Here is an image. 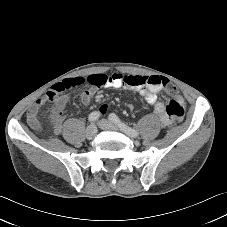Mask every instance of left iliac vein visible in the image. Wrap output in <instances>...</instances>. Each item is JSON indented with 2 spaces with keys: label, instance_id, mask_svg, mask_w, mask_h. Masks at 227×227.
I'll return each mask as SVG.
<instances>
[{
  "label": "left iliac vein",
  "instance_id": "1",
  "mask_svg": "<svg viewBox=\"0 0 227 227\" xmlns=\"http://www.w3.org/2000/svg\"><path fill=\"white\" fill-rule=\"evenodd\" d=\"M98 125L103 130L118 131V127L106 119L100 120Z\"/></svg>",
  "mask_w": 227,
  "mask_h": 227
}]
</instances>
